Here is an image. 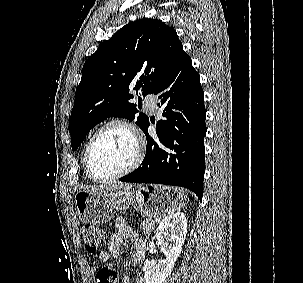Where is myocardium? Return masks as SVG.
Returning a JSON list of instances; mask_svg holds the SVG:
<instances>
[{
    "label": "myocardium",
    "instance_id": "1",
    "mask_svg": "<svg viewBox=\"0 0 303 283\" xmlns=\"http://www.w3.org/2000/svg\"><path fill=\"white\" fill-rule=\"evenodd\" d=\"M113 126H119L122 127L124 129H126L132 136L134 142H135V146H136V151H135V155L134 158L132 160V162L123 170L114 173L112 175L109 176H105V177H100L97 176L91 166L90 163V154H91V150L92 147L94 145V142L96 141V139L98 138V136L106 129L113 127ZM144 154H145V144H144V140L140 134V132L138 131V129L132 125L131 123L121 120V119H112L107 121L106 123H104L103 125H101L91 136L90 140L88 141L86 148H85V152H84V166L86 169V172L88 174V176L97 182H106V181H111V180H115V179H119L121 177H124L128 174H130L131 172H133L134 170H136L139 165L142 163L143 158H144Z\"/></svg>",
    "mask_w": 303,
    "mask_h": 283
}]
</instances>
